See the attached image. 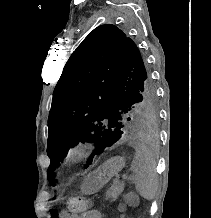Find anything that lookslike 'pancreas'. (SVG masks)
Returning a JSON list of instances; mask_svg holds the SVG:
<instances>
[{
    "instance_id": "1",
    "label": "pancreas",
    "mask_w": 211,
    "mask_h": 218,
    "mask_svg": "<svg viewBox=\"0 0 211 218\" xmlns=\"http://www.w3.org/2000/svg\"><path fill=\"white\" fill-rule=\"evenodd\" d=\"M123 190H124L123 182H119V180H114L113 186H111V188H109V190H107L106 192V196H107L106 200H108V198H111V202H114V200H118Z\"/></svg>"
}]
</instances>
